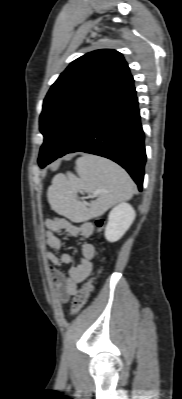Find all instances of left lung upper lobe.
I'll list each match as a JSON object with an SVG mask.
<instances>
[{"label": "left lung upper lobe", "mask_w": 182, "mask_h": 399, "mask_svg": "<svg viewBox=\"0 0 182 399\" xmlns=\"http://www.w3.org/2000/svg\"><path fill=\"white\" fill-rule=\"evenodd\" d=\"M132 81L128 64L115 50H96L73 61L51 86L43 102L40 167L54 161L92 114Z\"/></svg>", "instance_id": "1"}]
</instances>
